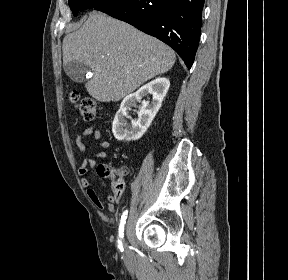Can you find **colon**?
I'll return each mask as SVG.
<instances>
[{"label": "colon", "mask_w": 288, "mask_h": 280, "mask_svg": "<svg viewBox=\"0 0 288 280\" xmlns=\"http://www.w3.org/2000/svg\"><path fill=\"white\" fill-rule=\"evenodd\" d=\"M69 98L72 103L77 104L79 95L76 91H73L70 93ZM78 106L83 119L86 122L93 124L96 118V100L91 96H86L81 100ZM97 171L101 176L111 180L112 195H120L122 193L124 188V176L121 173V169H114L113 167L100 164Z\"/></svg>", "instance_id": "1"}]
</instances>
